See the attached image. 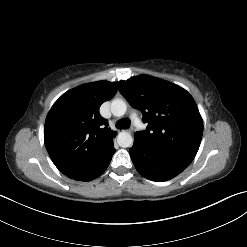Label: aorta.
Here are the masks:
<instances>
[{
	"label": "aorta",
	"mask_w": 247,
	"mask_h": 247,
	"mask_svg": "<svg viewBox=\"0 0 247 247\" xmlns=\"http://www.w3.org/2000/svg\"><path fill=\"white\" fill-rule=\"evenodd\" d=\"M127 105L123 99L117 98L111 102V112L116 117H121L126 113ZM117 143L120 147L127 148L133 144V137L129 132L122 131L117 136Z\"/></svg>",
	"instance_id": "obj_1"
}]
</instances>
